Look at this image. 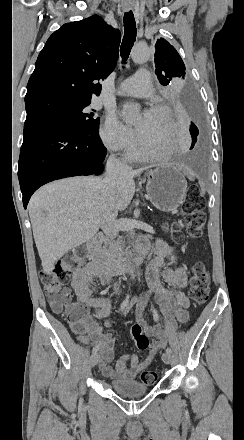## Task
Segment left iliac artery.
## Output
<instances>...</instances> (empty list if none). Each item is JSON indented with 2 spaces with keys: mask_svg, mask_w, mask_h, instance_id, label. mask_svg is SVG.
Returning <instances> with one entry per match:
<instances>
[{
  "mask_svg": "<svg viewBox=\"0 0 244 440\" xmlns=\"http://www.w3.org/2000/svg\"><path fill=\"white\" fill-rule=\"evenodd\" d=\"M153 317H154V320L155 321H158V319H159V316H158V313H157V311L155 310V309H153ZM166 352L167 353H171L172 351H171V348H166Z\"/></svg>",
  "mask_w": 244,
  "mask_h": 440,
  "instance_id": "left-iliac-artery-1",
  "label": "left iliac artery"
}]
</instances>
